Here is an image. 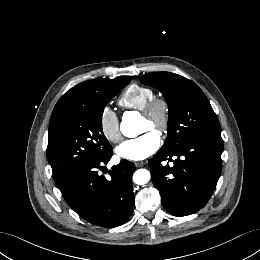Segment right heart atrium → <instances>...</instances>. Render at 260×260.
I'll use <instances>...</instances> for the list:
<instances>
[{
  "instance_id": "1",
  "label": "right heart atrium",
  "mask_w": 260,
  "mask_h": 260,
  "mask_svg": "<svg viewBox=\"0 0 260 260\" xmlns=\"http://www.w3.org/2000/svg\"><path fill=\"white\" fill-rule=\"evenodd\" d=\"M99 126L102 135L111 143H118L121 138L119 118L111 107H104L99 115Z\"/></svg>"
}]
</instances>
